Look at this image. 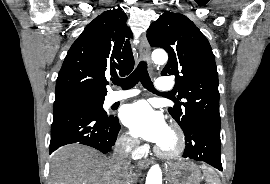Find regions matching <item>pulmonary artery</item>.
<instances>
[{
    "label": "pulmonary artery",
    "instance_id": "obj_1",
    "mask_svg": "<svg viewBox=\"0 0 270 184\" xmlns=\"http://www.w3.org/2000/svg\"><path fill=\"white\" fill-rule=\"evenodd\" d=\"M155 88L160 93H167L168 91L172 89V83L169 81V79L161 77L156 80ZM137 94H138L137 90H130L126 92H115L110 95L109 102L115 103L118 101L126 100Z\"/></svg>",
    "mask_w": 270,
    "mask_h": 184
}]
</instances>
